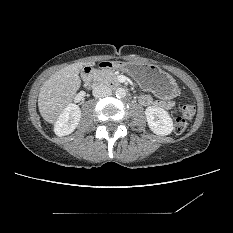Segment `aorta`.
<instances>
[{
    "mask_svg": "<svg viewBox=\"0 0 233 233\" xmlns=\"http://www.w3.org/2000/svg\"><path fill=\"white\" fill-rule=\"evenodd\" d=\"M115 94L118 98H124L126 96V90L124 88H117Z\"/></svg>",
    "mask_w": 233,
    "mask_h": 233,
    "instance_id": "aorta-1",
    "label": "aorta"
}]
</instances>
